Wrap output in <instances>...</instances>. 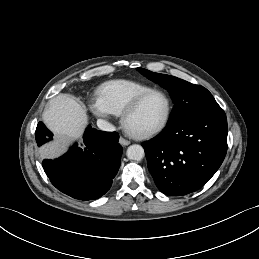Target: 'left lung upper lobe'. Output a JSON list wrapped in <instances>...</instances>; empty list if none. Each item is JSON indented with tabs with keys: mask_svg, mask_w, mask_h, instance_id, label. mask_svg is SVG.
<instances>
[{
	"mask_svg": "<svg viewBox=\"0 0 259 259\" xmlns=\"http://www.w3.org/2000/svg\"><path fill=\"white\" fill-rule=\"evenodd\" d=\"M137 70L169 91L174 102V108L167 125L221 108L212 94L200 85L189 83L174 76L154 73L143 68H137Z\"/></svg>",
	"mask_w": 259,
	"mask_h": 259,
	"instance_id": "obj_1",
	"label": "left lung upper lobe"
}]
</instances>
